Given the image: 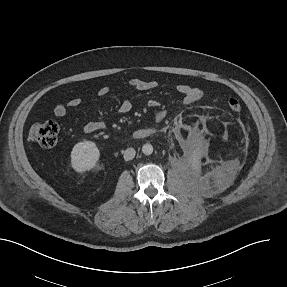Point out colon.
<instances>
[{"label": "colon", "mask_w": 287, "mask_h": 287, "mask_svg": "<svg viewBox=\"0 0 287 287\" xmlns=\"http://www.w3.org/2000/svg\"><path fill=\"white\" fill-rule=\"evenodd\" d=\"M228 108L234 113L242 111V104L236 98L228 100ZM59 127L54 121H43L32 124L28 129L29 141L39 145L42 148L53 147L58 138Z\"/></svg>", "instance_id": "5ec220e1"}]
</instances>
